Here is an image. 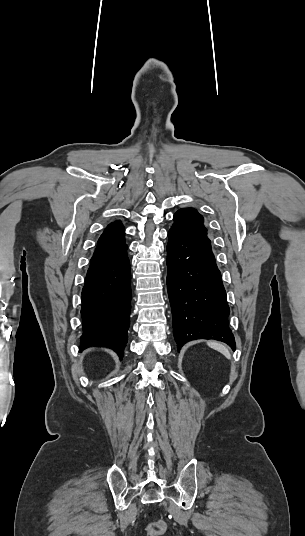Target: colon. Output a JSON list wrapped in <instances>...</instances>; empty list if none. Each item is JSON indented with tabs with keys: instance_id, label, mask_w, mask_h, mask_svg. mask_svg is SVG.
Returning a JSON list of instances; mask_svg holds the SVG:
<instances>
[{
	"instance_id": "5ec220e1",
	"label": "colon",
	"mask_w": 305,
	"mask_h": 536,
	"mask_svg": "<svg viewBox=\"0 0 305 536\" xmlns=\"http://www.w3.org/2000/svg\"><path fill=\"white\" fill-rule=\"evenodd\" d=\"M165 531V523L161 520L152 522L147 529V536H162Z\"/></svg>"
}]
</instances>
